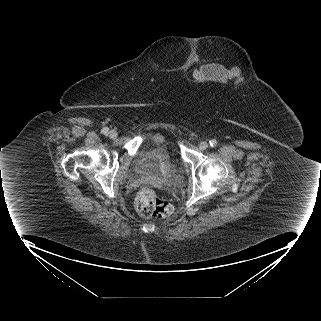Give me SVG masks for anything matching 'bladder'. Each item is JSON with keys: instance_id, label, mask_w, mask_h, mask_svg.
Instances as JSON below:
<instances>
[{"instance_id": "obj_1", "label": "bladder", "mask_w": 321, "mask_h": 321, "mask_svg": "<svg viewBox=\"0 0 321 321\" xmlns=\"http://www.w3.org/2000/svg\"><path fill=\"white\" fill-rule=\"evenodd\" d=\"M176 169L175 154L172 145L165 140L149 143L139 154L135 162L137 174L152 179H166Z\"/></svg>"}]
</instances>
